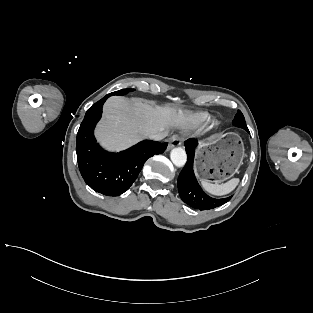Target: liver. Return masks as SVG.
I'll return each mask as SVG.
<instances>
[{
	"label": "liver",
	"mask_w": 313,
	"mask_h": 313,
	"mask_svg": "<svg viewBox=\"0 0 313 313\" xmlns=\"http://www.w3.org/2000/svg\"><path fill=\"white\" fill-rule=\"evenodd\" d=\"M185 116L172 107L153 106L150 102L113 96L103 108V119L96 128L99 142L111 150L125 149L147 138L149 133L166 132L182 126Z\"/></svg>",
	"instance_id": "1"
}]
</instances>
